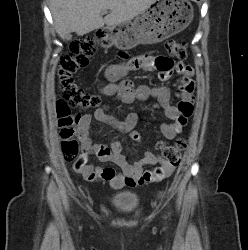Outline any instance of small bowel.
Returning a JSON list of instances; mask_svg holds the SVG:
<instances>
[{"label": "small bowel", "mask_w": 248, "mask_h": 250, "mask_svg": "<svg viewBox=\"0 0 248 250\" xmlns=\"http://www.w3.org/2000/svg\"><path fill=\"white\" fill-rule=\"evenodd\" d=\"M131 70H143L158 72L159 77L166 80L173 72L181 75L180 98L178 106L170 104L171 89L167 86H149L145 84L134 85L130 80H122L124 74ZM193 70L190 65L184 63L173 64L165 57L155 55H139L131 60L110 65L105 71L106 83L101 84V92L107 97L115 96L124 104H131L135 100H146L154 98L163 110L164 116L170 120L169 123L161 125V132L166 139H174L187 123L188 114L185 108H192L194 102V82L192 80ZM107 124L121 133H130L132 140L138 141L140 138L134 136V128L138 121L135 113H128L122 119H117L108 114V107L103 105L98 107L93 114H84L77 127V136L86 154L96 155L102 162H112L121 168V173H117L112 168L94 169L85 164L79 166L74 164V170L87 181H108L115 189L124 186L141 185L149 181H159L170 176L174 168L170 167L162 156L147 151L144 157L135 162L129 163L122 153V144L118 140H112L107 144L93 143L90 138L92 119ZM159 164L158 169L166 170L165 175L160 179H148L144 171L145 165Z\"/></svg>", "instance_id": "c3829d8e"}]
</instances>
